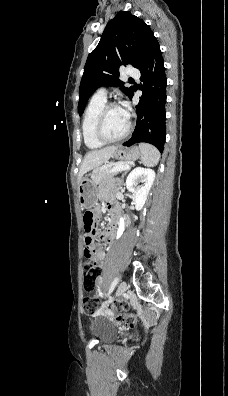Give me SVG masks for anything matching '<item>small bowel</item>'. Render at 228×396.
Wrapping results in <instances>:
<instances>
[{
    "label": "small bowel",
    "instance_id": "obj_1",
    "mask_svg": "<svg viewBox=\"0 0 228 396\" xmlns=\"http://www.w3.org/2000/svg\"><path fill=\"white\" fill-rule=\"evenodd\" d=\"M107 189H108V187H105L104 190L107 191ZM107 209H108V212H109V220L111 222V221L114 220L115 215H116V208H115L114 202H113V200L111 198L107 199ZM93 212L96 213V214H99L100 213V209L99 208H95L93 210ZM101 237L106 239V240H108V241H110L112 239V232L111 231H106L103 234H101ZM93 257H94L95 262L99 266H101L102 263H103V260L105 258V253L101 249L94 248ZM102 283H103L102 277L99 276L98 279H97V284H96L97 285V290H99L101 288Z\"/></svg>",
    "mask_w": 228,
    "mask_h": 396
}]
</instances>
